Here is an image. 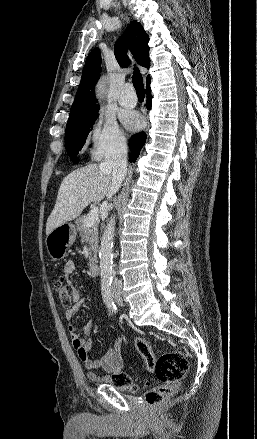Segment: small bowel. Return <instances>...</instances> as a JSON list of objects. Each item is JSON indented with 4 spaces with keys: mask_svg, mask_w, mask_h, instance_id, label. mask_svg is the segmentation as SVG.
I'll return each mask as SVG.
<instances>
[{
    "mask_svg": "<svg viewBox=\"0 0 257 439\" xmlns=\"http://www.w3.org/2000/svg\"><path fill=\"white\" fill-rule=\"evenodd\" d=\"M75 264L72 261H67L63 267L64 276L67 278V283L71 285L68 277L74 272ZM74 289L73 305L65 311V317L70 322L68 332L71 339L72 347L75 350L77 357L83 363L87 377L95 382L108 383L114 375L121 373L124 365L123 360V340L117 339L112 348H110L101 358L92 359L90 351L92 349V341L84 337L90 334L93 327V321H89L82 329L73 323V320L86 302L85 298H81L79 292ZM103 371V375H99L98 371Z\"/></svg>",
    "mask_w": 257,
    "mask_h": 439,
    "instance_id": "c3829d8e",
    "label": "small bowel"
}]
</instances>
